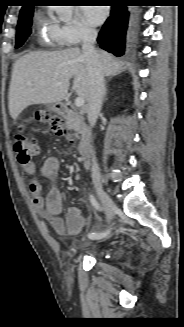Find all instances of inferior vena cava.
I'll list each match as a JSON object with an SVG mask.
<instances>
[{"instance_id": "obj_1", "label": "inferior vena cava", "mask_w": 184, "mask_h": 327, "mask_svg": "<svg viewBox=\"0 0 184 327\" xmlns=\"http://www.w3.org/2000/svg\"><path fill=\"white\" fill-rule=\"evenodd\" d=\"M96 38L97 31L95 29L86 28L84 30L82 37V52L87 63L90 77L87 117L91 126H94L96 123L97 116L101 110L102 100L105 92L102 66L98 54L94 48ZM92 162V180L94 182H100V169L94 154Z\"/></svg>"}]
</instances>
